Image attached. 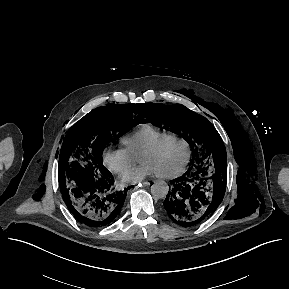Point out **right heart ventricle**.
<instances>
[{"mask_svg": "<svg viewBox=\"0 0 289 289\" xmlns=\"http://www.w3.org/2000/svg\"><path fill=\"white\" fill-rule=\"evenodd\" d=\"M168 134L171 132L166 129L144 124L123 135L121 142L133 155L139 156L144 149Z\"/></svg>", "mask_w": 289, "mask_h": 289, "instance_id": "1", "label": "right heart ventricle"}]
</instances>
